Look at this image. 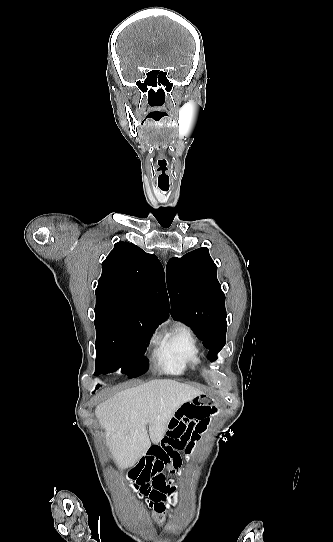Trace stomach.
<instances>
[{"instance_id": "stomach-1", "label": "stomach", "mask_w": 333, "mask_h": 542, "mask_svg": "<svg viewBox=\"0 0 333 542\" xmlns=\"http://www.w3.org/2000/svg\"><path fill=\"white\" fill-rule=\"evenodd\" d=\"M188 400H202L203 404H206L205 400H207V396H205V394H202V396H196V398L191 397Z\"/></svg>"}]
</instances>
